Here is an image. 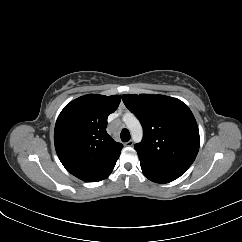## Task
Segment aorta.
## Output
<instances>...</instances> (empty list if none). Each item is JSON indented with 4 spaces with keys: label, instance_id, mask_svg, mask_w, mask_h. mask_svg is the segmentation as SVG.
I'll return each mask as SVG.
<instances>
[{
    "label": "aorta",
    "instance_id": "762f6f07",
    "mask_svg": "<svg viewBox=\"0 0 242 242\" xmlns=\"http://www.w3.org/2000/svg\"><path fill=\"white\" fill-rule=\"evenodd\" d=\"M124 121L132 135L134 142H140L143 136V128L139 120L132 114L124 116Z\"/></svg>",
    "mask_w": 242,
    "mask_h": 242
}]
</instances>
